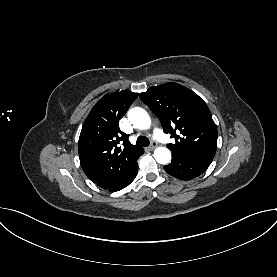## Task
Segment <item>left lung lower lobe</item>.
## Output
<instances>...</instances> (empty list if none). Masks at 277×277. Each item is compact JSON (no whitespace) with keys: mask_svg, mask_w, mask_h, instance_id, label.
Masks as SVG:
<instances>
[{"mask_svg":"<svg viewBox=\"0 0 277 277\" xmlns=\"http://www.w3.org/2000/svg\"><path fill=\"white\" fill-rule=\"evenodd\" d=\"M212 160L205 155L173 154L172 162L164 170L178 179L190 180L202 174Z\"/></svg>","mask_w":277,"mask_h":277,"instance_id":"1","label":"left lung lower lobe"}]
</instances>
